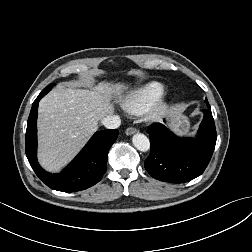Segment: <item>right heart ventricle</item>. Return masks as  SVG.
<instances>
[{
    "mask_svg": "<svg viewBox=\"0 0 252 252\" xmlns=\"http://www.w3.org/2000/svg\"><path fill=\"white\" fill-rule=\"evenodd\" d=\"M165 87L157 81L148 82L129 92L122 100V108L134 115L148 111L164 94Z\"/></svg>",
    "mask_w": 252,
    "mask_h": 252,
    "instance_id": "e07e8e85",
    "label": "right heart ventricle"
}]
</instances>
